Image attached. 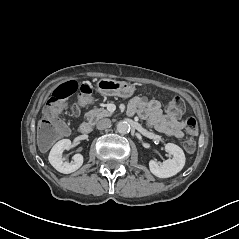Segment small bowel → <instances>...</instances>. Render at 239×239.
Wrapping results in <instances>:
<instances>
[{
  "mask_svg": "<svg viewBox=\"0 0 239 239\" xmlns=\"http://www.w3.org/2000/svg\"><path fill=\"white\" fill-rule=\"evenodd\" d=\"M128 111L146 120L151 127L168 137H184L185 122L177 116L164 114L157 100L135 97L130 101Z\"/></svg>",
  "mask_w": 239,
  "mask_h": 239,
  "instance_id": "small-bowel-1",
  "label": "small bowel"
}]
</instances>
